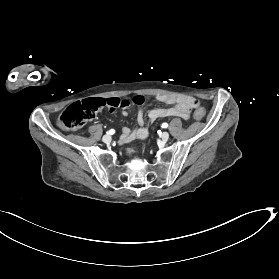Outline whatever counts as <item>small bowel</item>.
Here are the masks:
<instances>
[{"mask_svg":"<svg viewBox=\"0 0 279 279\" xmlns=\"http://www.w3.org/2000/svg\"><path fill=\"white\" fill-rule=\"evenodd\" d=\"M157 100L163 103L170 105L167 108H156L149 112V118L151 121H155L160 118L165 117H181L184 120H188L190 117V110L192 106L188 101L181 98H174L168 95H159L157 96ZM123 116H127L128 113L126 111L122 112ZM137 120L140 125L139 128L131 129L129 127H125L122 130L120 136V143H127L136 138L146 139L149 135L148 130L144 127V117L143 111L141 109L138 110Z\"/></svg>","mask_w":279,"mask_h":279,"instance_id":"c3829d8e","label":"small bowel"}]
</instances>
